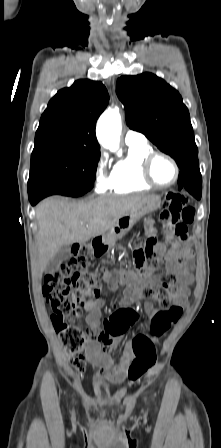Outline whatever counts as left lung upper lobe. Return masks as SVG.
Listing matches in <instances>:
<instances>
[{"label":"left lung upper lobe","instance_id":"1","mask_svg":"<svg viewBox=\"0 0 221 448\" xmlns=\"http://www.w3.org/2000/svg\"><path fill=\"white\" fill-rule=\"evenodd\" d=\"M116 92L127 125L143 133L182 169L198 168V149L187 107L180 94L151 73L122 76Z\"/></svg>","mask_w":221,"mask_h":448}]
</instances>
